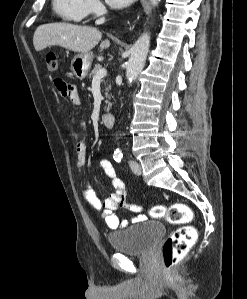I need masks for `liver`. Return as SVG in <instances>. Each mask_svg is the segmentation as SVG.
Here are the masks:
<instances>
[{"mask_svg":"<svg viewBox=\"0 0 247 299\" xmlns=\"http://www.w3.org/2000/svg\"><path fill=\"white\" fill-rule=\"evenodd\" d=\"M102 33L95 27L80 26L69 23H49L40 25L33 36L36 51L58 45L77 53H87L101 40ZM110 46L106 39L100 44V49Z\"/></svg>","mask_w":247,"mask_h":299,"instance_id":"liver-1","label":"liver"}]
</instances>
